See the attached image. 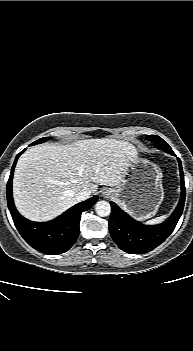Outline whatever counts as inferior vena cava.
<instances>
[{"mask_svg":"<svg viewBox=\"0 0 193 351\" xmlns=\"http://www.w3.org/2000/svg\"><path fill=\"white\" fill-rule=\"evenodd\" d=\"M90 195H91L90 190L83 189L75 195V198L78 202H80V201H83V200L89 198Z\"/></svg>","mask_w":193,"mask_h":351,"instance_id":"602c4592","label":"inferior vena cava"}]
</instances>
